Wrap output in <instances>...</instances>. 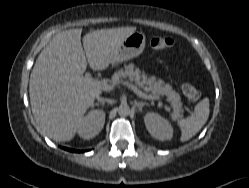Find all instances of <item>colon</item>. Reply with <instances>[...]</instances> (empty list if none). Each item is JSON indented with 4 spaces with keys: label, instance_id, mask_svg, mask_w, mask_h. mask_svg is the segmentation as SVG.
I'll return each instance as SVG.
<instances>
[{
    "label": "colon",
    "instance_id": "5ec220e1",
    "mask_svg": "<svg viewBox=\"0 0 249 188\" xmlns=\"http://www.w3.org/2000/svg\"><path fill=\"white\" fill-rule=\"evenodd\" d=\"M150 45L156 50L164 51L172 47L173 40L168 37H153L150 40ZM181 89L185 97L191 102H196L200 97L199 90L189 83H183Z\"/></svg>",
    "mask_w": 249,
    "mask_h": 188
}]
</instances>
